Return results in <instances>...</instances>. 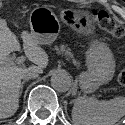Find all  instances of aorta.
<instances>
[{"label":"aorta","instance_id":"aorta-1","mask_svg":"<svg viewBox=\"0 0 125 125\" xmlns=\"http://www.w3.org/2000/svg\"><path fill=\"white\" fill-rule=\"evenodd\" d=\"M51 85L58 92H66L71 88V78L65 71H57L51 77Z\"/></svg>","mask_w":125,"mask_h":125}]
</instances>
